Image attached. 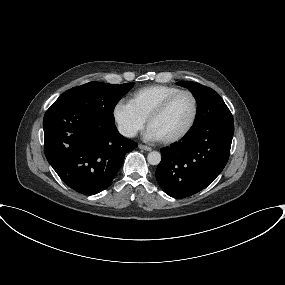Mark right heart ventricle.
Returning <instances> with one entry per match:
<instances>
[{
  "instance_id": "1",
  "label": "right heart ventricle",
  "mask_w": 285,
  "mask_h": 285,
  "mask_svg": "<svg viewBox=\"0 0 285 285\" xmlns=\"http://www.w3.org/2000/svg\"><path fill=\"white\" fill-rule=\"evenodd\" d=\"M181 90L169 85H150L140 88L132 93L129 103L144 120L167 97Z\"/></svg>"
}]
</instances>
